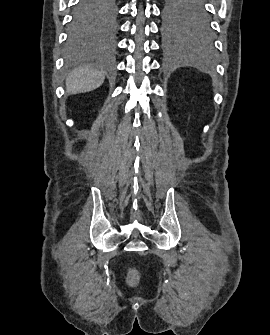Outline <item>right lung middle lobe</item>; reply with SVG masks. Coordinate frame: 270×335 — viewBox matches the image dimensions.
I'll list each match as a JSON object with an SVG mask.
<instances>
[{
    "label": "right lung middle lobe",
    "instance_id": "obj_1",
    "mask_svg": "<svg viewBox=\"0 0 270 335\" xmlns=\"http://www.w3.org/2000/svg\"><path fill=\"white\" fill-rule=\"evenodd\" d=\"M117 0H79L72 11L69 40L72 44L84 41L99 25H113Z\"/></svg>",
    "mask_w": 270,
    "mask_h": 335
}]
</instances>
